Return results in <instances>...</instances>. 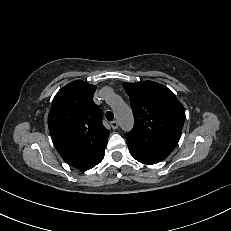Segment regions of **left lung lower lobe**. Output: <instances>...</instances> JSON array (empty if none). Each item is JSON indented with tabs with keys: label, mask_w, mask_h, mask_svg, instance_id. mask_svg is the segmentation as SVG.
Masks as SVG:
<instances>
[{
	"label": "left lung lower lobe",
	"mask_w": 231,
	"mask_h": 231,
	"mask_svg": "<svg viewBox=\"0 0 231 231\" xmlns=\"http://www.w3.org/2000/svg\"><path fill=\"white\" fill-rule=\"evenodd\" d=\"M128 147L132 157L143 164H156L166 158L163 156L154 155L141 151L140 149L136 148L131 144H128Z\"/></svg>",
	"instance_id": "0a47b994"
}]
</instances>
